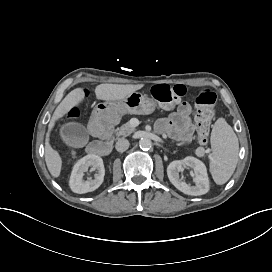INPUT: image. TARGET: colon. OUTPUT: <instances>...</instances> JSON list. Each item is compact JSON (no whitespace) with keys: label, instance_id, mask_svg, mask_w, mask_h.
Here are the masks:
<instances>
[{"label":"colon","instance_id":"colon-1","mask_svg":"<svg viewBox=\"0 0 272 272\" xmlns=\"http://www.w3.org/2000/svg\"><path fill=\"white\" fill-rule=\"evenodd\" d=\"M189 91L193 90L186 88L184 85H175L174 87L156 85L152 88L153 96L161 103H168L175 99L182 98ZM216 101V93L209 88H204L199 91L195 99L197 106L196 120L198 135L203 144H206L208 141L210 124L215 117L214 106ZM66 117L69 121H75L79 117V107L77 104L68 107Z\"/></svg>","mask_w":272,"mask_h":272}]
</instances>
